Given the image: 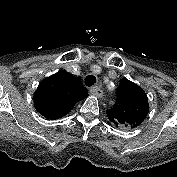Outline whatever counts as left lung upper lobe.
I'll return each instance as SVG.
<instances>
[{
	"label": "left lung upper lobe",
	"instance_id": "obj_1",
	"mask_svg": "<svg viewBox=\"0 0 177 177\" xmlns=\"http://www.w3.org/2000/svg\"><path fill=\"white\" fill-rule=\"evenodd\" d=\"M148 111V98L144 90L123 78L115 105L107 111L109 120L123 130H132L142 124Z\"/></svg>",
	"mask_w": 177,
	"mask_h": 177
}]
</instances>
